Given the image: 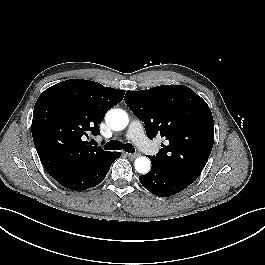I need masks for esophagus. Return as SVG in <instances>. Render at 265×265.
<instances>
[{
  "label": "esophagus",
  "instance_id": "1",
  "mask_svg": "<svg viewBox=\"0 0 265 265\" xmlns=\"http://www.w3.org/2000/svg\"><path fill=\"white\" fill-rule=\"evenodd\" d=\"M126 156H128L130 159H135L136 157H138L139 154H131V153H125Z\"/></svg>",
  "mask_w": 265,
  "mask_h": 265
}]
</instances>
